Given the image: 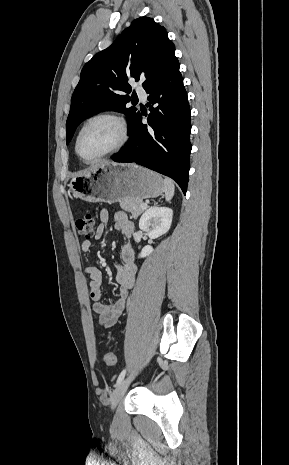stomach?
I'll use <instances>...</instances> for the list:
<instances>
[{
  "mask_svg": "<svg viewBox=\"0 0 289 465\" xmlns=\"http://www.w3.org/2000/svg\"><path fill=\"white\" fill-rule=\"evenodd\" d=\"M69 188L75 198L111 204L157 197L164 192V181L159 174L136 164L106 163L72 178Z\"/></svg>",
  "mask_w": 289,
  "mask_h": 465,
  "instance_id": "obj_1",
  "label": "stomach"
}]
</instances>
